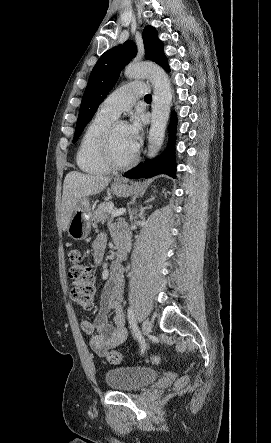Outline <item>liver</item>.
I'll return each instance as SVG.
<instances>
[{
  "label": "liver",
  "mask_w": 271,
  "mask_h": 443,
  "mask_svg": "<svg viewBox=\"0 0 271 443\" xmlns=\"http://www.w3.org/2000/svg\"><path fill=\"white\" fill-rule=\"evenodd\" d=\"M111 178L105 176H90L80 172H69L63 184V196L61 202V225L66 231L70 218L77 208L81 198L95 196L107 188Z\"/></svg>",
  "instance_id": "liver-1"
}]
</instances>
